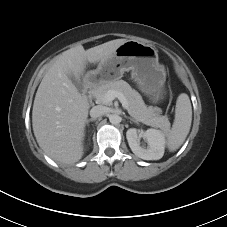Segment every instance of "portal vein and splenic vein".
Masks as SVG:
<instances>
[{
    "instance_id": "18ae733b",
    "label": "portal vein and splenic vein",
    "mask_w": 227,
    "mask_h": 227,
    "mask_svg": "<svg viewBox=\"0 0 227 227\" xmlns=\"http://www.w3.org/2000/svg\"><path fill=\"white\" fill-rule=\"evenodd\" d=\"M115 98H118V100L121 102L123 108L127 109V107H128L127 99L121 92H118L115 90H109L104 96V101L112 102Z\"/></svg>"
}]
</instances>
